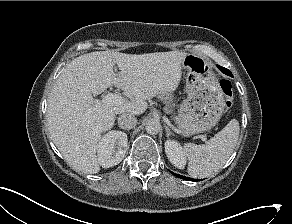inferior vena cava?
Returning <instances> with one entry per match:
<instances>
[{"label":"inferior vena cava","mask_w":292,"mask_h":224,"mask_svg":"<svg viewBox=\"0 0 292 224\" xmlns=\"http://www.w3.org/2000/svg\"><path fill=\"white\" fill-rule=\"evenodd\" d=\"M118 124L122 129H132L137 124V118L130 113H123L118 117Z\"/></svg>","instance_id":"602c4592"}]
</instances>
